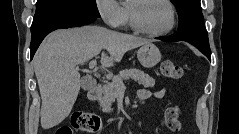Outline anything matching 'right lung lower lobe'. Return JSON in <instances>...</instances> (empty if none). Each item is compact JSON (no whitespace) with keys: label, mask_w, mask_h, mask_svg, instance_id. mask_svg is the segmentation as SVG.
<instances>
[{"label":"right lung lower lobe","mask_w":239,"mask_h":134,"mask_svg":"<svg viewBox=\"0 0 239 134\" xmlns=\"http://www.w3.org/2000/svg\"><path fill=\"white\" fill-rule=\"evenodd\" d=\"M96 19L97 17L80 13H63L47 19L39 26H37L35 29L31 30L32 34L30 47L31 59L33 58L42 40L51 31L59 28L83 26L94 22Z\"/></svg>","instance_id":"98d812e1"}]
</instances>
